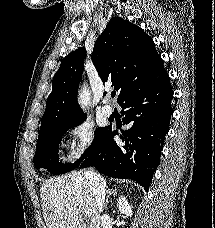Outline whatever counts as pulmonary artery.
Returning <instances> with one entry per match:
<instances>
[{
    "instance_id": "pulmonary-artery-1",
    "label": "pulmonary artery",
    "mask_w": 215,
    "mask_h": 228,
    "mask_svg": "<svg viewBox=\"0 0 215 228\" xmlns=\"http://www.w3.org/2000/svg\"><path fill=\"white\" fill-rule=\"evenodd\" d=\"M105 105L103 106V114L105 116H111L113 114V106H112V97L110 93H108L104 99Z\"/></svg>"
}]
</instances>
